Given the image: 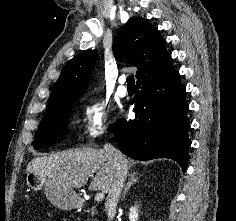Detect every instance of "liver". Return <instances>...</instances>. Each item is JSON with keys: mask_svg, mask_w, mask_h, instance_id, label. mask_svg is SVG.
Here are the masks:
<instances>
[{"mask_svg": "<svg viewBox=\"0 0 236 221\" xmlns=\"http://www.w3.org/2000/svg\"><path fill=\"white\" fill-rule=\"evenodd\" d=\"M125 158L127 170L134 161ZM36 172L57 181L69 188L83 187L92 174H95L89 185L91 190L108 193L112 181L113 169L102 149L76 148L36 157L29 162L26 172Z\"/></svg>", "mask_w": 236, "mask_h": 221, "instance_id": "6515ba94", "label": "liver"}]
</instances>
